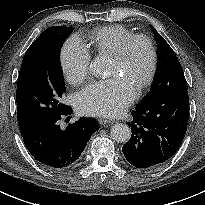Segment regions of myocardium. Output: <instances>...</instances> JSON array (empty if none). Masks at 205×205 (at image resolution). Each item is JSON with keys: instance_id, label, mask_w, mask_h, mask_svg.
Wrapping results in <instances>:
<instances>
[{"instance_id": "f54148a6", "label": "myocardium", "mask_w": 205, "mask_h": 205, "mask_svg": "<svg viewBox=\"0 0 205 205\" xmlns=\"http://www.w3.org/2000/svg\"><path fill=\"white\" fill-rule=\"evenodd\" d=\"M139 41L143 42L147 46L150 55V62L147 73L137 85V88L139 90H143L152 82L157 70L158 54L156 46L152 39L143 34H135L124 41L119 50L113 55V57L117 62L124 61L127 58L132 46Z\"/></svg>"}]
</instances>
